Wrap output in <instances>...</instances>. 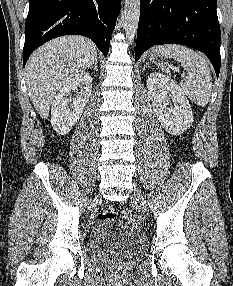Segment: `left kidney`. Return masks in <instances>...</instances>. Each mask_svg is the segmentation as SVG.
<instances>
[{
    "label": "left kidney",
    "instance_id": "1",
    "mask_svg": "<svg viewBox=\"0 0 233 286\" xmlns=\"http://www.w3.org/2000/svg\"><path fill=\"white\" fill-rule=\"evenodd\" d=\"M147 89L153 110L169 134L179 135L191 127L193 123L191 106L185 93L173 79L153 72L147 79Z\"/></svg>",
    "mask_w": 233,
    "mask_h": 286
}]
</instances>
